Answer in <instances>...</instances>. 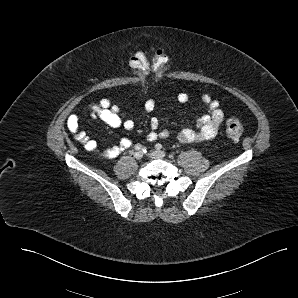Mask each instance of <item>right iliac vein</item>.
Segmentation results:
<instances>
[{"instance_id":"obj_1","label":"right iliac vein","mask_w":298,"mask_h":298,"mask_svg":"<svg viewBox=\"0 0 298 298\" xmlns=\"http://www.w3.org/2000/svg\"><path fill=\"white\" fill-rule=\"evenodd\" d=\"M133 156L136 160H140L143 157V152L142 151H137V152L134 153Z\"/></svg>"}]
</instances>
